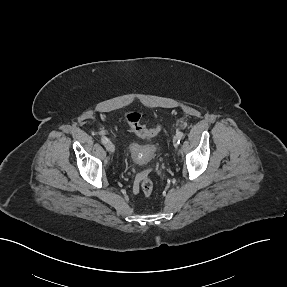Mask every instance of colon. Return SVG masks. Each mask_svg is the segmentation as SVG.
I'll use <instances>...</instances> for the list:
<instances>
[{
    "label": "colon",
    "instance_id": "colon-1",
    "mask_svg": "<svg viewBox=\"0 0 287 287\" xmlns=\"http://www.w3.org/2000/svg\"><path fill=\"white\" fill-rule=\"evenodd\" d=\"M124 123L129 129L137 136L145 139L153 138L161 132V126L155 125L147 127L141 123V116L137 112H128L123 117ZM136 187L142 191V193L150 197L153 193V184L149 178L148 172L144 171L140 174Z\"/></svg>",
    "mask_w": 287,
    "mask_h": 287
}]
</instances>
